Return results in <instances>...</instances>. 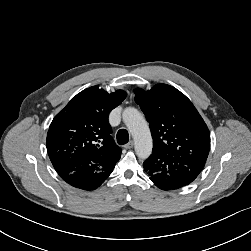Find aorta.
<instances>
[{"mask_svg":"<svg viewBox=\"0 0 251 251\" xmlns=\"http://www.w3.org/2000/svg\"><path fill=\"white\" fill-rule=\"evenodd\" d=\"M122 118L134 139L137 156L141 159L148 158L153 144L149 126L143 115L137 109L129 107L123 111Z\"/></svg>","mask_w":251,"mask_h":251,"instance_id":"obj_1","label":"aorta"}]
</instances>
